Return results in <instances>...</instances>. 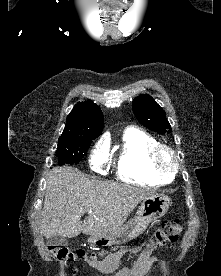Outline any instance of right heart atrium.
Instances as JSON below:
<instances>
[{
  "mask_svg": "<svg viewBox=\"0 0 221 276\" xmlns=\"http://www.w3.org/2000/svg\"><path fill=\"white\" fill-rule=\"evenodd\" d=\"M89 162L94 170L101 172L109 162L108 145L104 142L98 143L90 155Z\"/></svg>",
  "mask_w": 221,
  "mask_h": 276,
  "instance_id": "1",
  "label": "right heart atrium"
}]
</instances>
